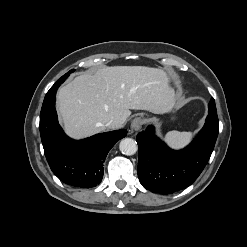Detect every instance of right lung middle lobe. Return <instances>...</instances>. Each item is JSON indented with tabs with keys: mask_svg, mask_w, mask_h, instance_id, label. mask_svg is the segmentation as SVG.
Instances as JSON below:
<instances>
[{
	"mask_svg": "<svg viewBox=\"0 0 247 247\" xmlns=\"http://www.w3.org/2000/svg\"><path fill=\"white\" fill-rule=\"evenodd\" d=\"M74 71L70 70L68 73H66L65 75H63L52 87L51 89L47 92L44 101L48 100L50 97L53 96L54 92L57 90L56 88L59 87L64 81L65 79L70 75V73H72Z\"/></svg>",
	"mask_w": 247,
	"mask_h": 247,
	"instance_id": "right-lung-middle-lobe-1",
	"label": "right lung middle lobe"
}]
</instances>
